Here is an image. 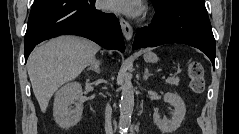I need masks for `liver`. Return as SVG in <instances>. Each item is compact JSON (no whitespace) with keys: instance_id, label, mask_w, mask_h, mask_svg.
Instances as JSON below:
<instances>
[{"instance_id":"6515ba94","label":"liver","mask_w":239,"mask_h":134,"mask_svg":"<svg viewBox=\"0 0 239 134\" xmlns=\"http://www.w3.org/2000/svg\"><path fill=\"white\" fill-rule=\"evenodd\" d=\"M100 50L96 43L77 36H60L38 46L27 61L34 95L42 112L64 83L75 79Z\"/></svg>"}]
</instances>
